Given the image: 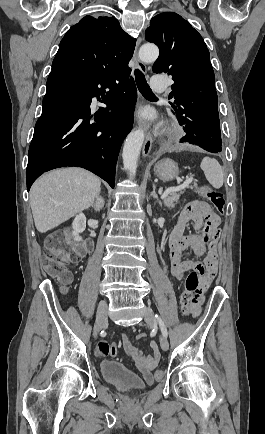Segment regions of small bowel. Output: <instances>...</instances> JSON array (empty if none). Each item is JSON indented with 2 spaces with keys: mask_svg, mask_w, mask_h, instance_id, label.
Here are the masks:
<instances>
[{
  "mask_svg": "<svg viewBox=\"0 0 265 434\" xmlns=\"http://www.w3.org/2000/svg\"><path fill=\"white\" fill-rule=\"evenodd\" d=\"M188 224L199 231L200 234H185V228ZM219 216L211 207L202 200H195L187 204L182 210L178 222L171 231L168 244L170 249V272L175 280H181L187 272L195 269L200 263L192 259H183L187 254L202 256L208 245V253L205 258V265L197 268L198 277L203 280L198 293L193 298L191 311L192 317H197L201 312L203 294L208 289L210 282L216 274L217 250L216 243L219 237ZM204 275L205 278H204ZM146 337L145 333H139L135 338H130L123 334L122 344L125 351L139 364L142 368L143 378L146 383L153 382L151 370L160 358V350L157 342H150L151 355H145L134 345L136 341Z\"/></svg>",
  "mask_w": 265,
  "mask_h": 434,
  "instance_id": "1",
  "label": "small bowel"
}]
</instances>
